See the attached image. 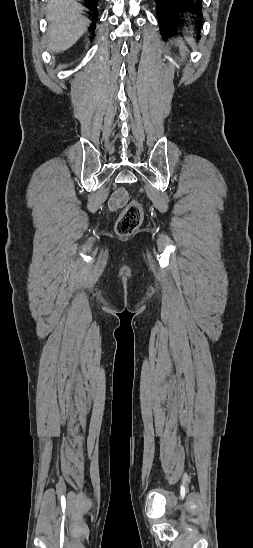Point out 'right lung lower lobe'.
I'll return each instance as SVG.
<instances>
[{
	"mask_svg": "<svg viewBox=\"0 0 253 548\" xmlns=\"http://www.w3.org/2000/svg\"><path fill=\"white\" fill-rule=\"evenodd\" d=\"M88 4H90L92 7H95L97 6V3L99 0H85ZM96 20V19H95Z\"/></svg>",
	"mask_w": 253,
	"mask_h": 548,
	"instance_id": "right-lung-lower-lobe-1",
	"label": "right lung lower lobe"
}]
</instances>
